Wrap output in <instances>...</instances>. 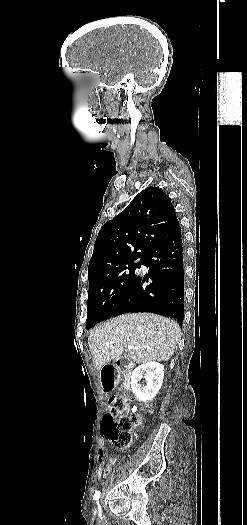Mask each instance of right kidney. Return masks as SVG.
<instances>
[{
	"mask_svg": "<svg viewBox=\"0 0 247 525\" xmlns=\"http://www.w3.org/2000/svg\"><path fill=\"white\" fill-rule=\"evenodd\" d=\"M142 379H145V385H141ZM163 379L164 365L161 363H144L136 367L132 373L130 385L137 401L148 403L155 399L162 387Z\"/></svg>",
	"mask_w": 247,
	"mask_h": 525,
	"instance_id": "1",
	"label": "right kidney"
}]
</instances>
